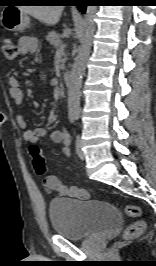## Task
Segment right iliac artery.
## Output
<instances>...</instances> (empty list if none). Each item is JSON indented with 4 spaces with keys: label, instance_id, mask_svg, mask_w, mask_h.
I'll return each instance as SVG.
<instances>
[{
    "label": "right iliac artery",
    "instance_id": "right-iliac-artery-1",
    "mask_svg": "<svg viewBox=\"0 0 156 266\" xmlns=\"http://www.w3.org/2000/svg\"><path fill=\"white\" fill-rule=\"evenodd\" d=\"M77 119V116H74V115H71L70 117H69V120H70V122L71 123H74V121Z\"/></svg>",
    "mask_w": 156,
    "mask_h": 266
}]
</instances>
